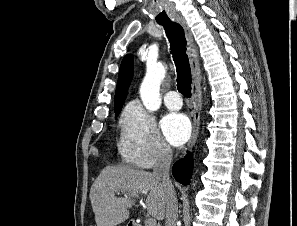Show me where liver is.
<instances>
[{
	"mask_svg": "<svg viewBox=\"0 0 297 226\" xmlns=\"http://www.w3.org/2000/svg\"><path fill=\"white\" fill-rule=\"evenodd\" d=\"M115 193H124L116 197ZM147 194V212L163 220L166 210V188L153 173L121 166H107L94 181L90 201L97 226H117L129 218L135 198Z\"/></svg>",
	"mask_w": 297,
	"mask_h": 226,
	"instance_id": "6515ba94",
	"label": "liver"
}]
</instances>
